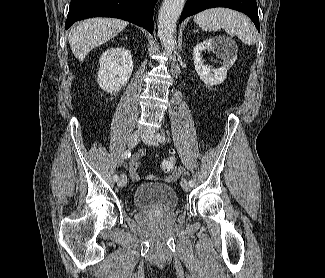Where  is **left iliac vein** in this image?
<instances>
[{
	"mask_svg": "<svg viewBox=\"0 0 325 278\" xmlns=\"http://www.w3.org/2000/svg\"><path fill=\"white\" fill-rule=\"evenodd\" d=\"M142 140L144 143L151 145V146H158V141L154 137L153 133H145L142 136ZM181 187L184 191L188 192L191 189V186L189 185L188 181L185 178L181 179Z\"/></svg>",
	"mask_w": 325,
	"mask_h": 278,
	"instance_id": "left-iliac-vein-1",
	"label": "left iliac vein"
}]
</instances>
